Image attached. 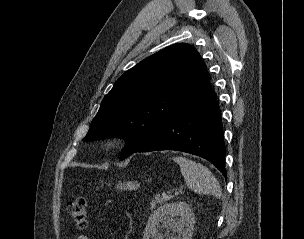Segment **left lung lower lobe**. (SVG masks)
<instances>
[{
  "label": "left lung lower lobe",
  "mask_w": 304,
  "mask_h": 239,
  "mask_svg": "<svg viewBox=\"0 0 304 239\" xmlns=\"http://www.w3.org/2000/svg\"><path fill=\"white\" fill-rule=\"evenodd\" d=\"M157 150L183 151L200 156L227 177L220 108L210 82L144 145L130 154Z\"/></svg>",
  "instance_id": "left-lung-lower-lobe-1"
}]
</instances>
